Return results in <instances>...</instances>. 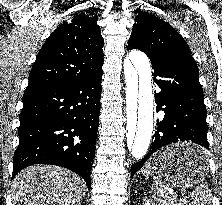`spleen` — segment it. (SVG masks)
<instances>
[{
	"label": "spleen",
	"instance_id": "1",
	"mask_svg": "<svg viewBox=\"0 0 222 205\" xmlns=\"http://www.w3.org/2000/svg\"><path fill=\"white\" fill-rule=\"evenodd\" d=\"M152 164L151 159L145 163L143 167V174L148 176L151 172ZM154 195L160 205H178L174 198L170 197L167 191L158 186H152ZM189 198L191 202L189 205H209L211 201V192L208 188V185L201 183L198 187L195 188L193 192L189 193ZM180 205V204H179Z\"/></svg>",
	"mask_w": 222,
	"mask_h": 205
}]
</instances>
